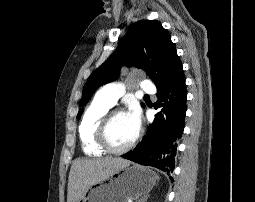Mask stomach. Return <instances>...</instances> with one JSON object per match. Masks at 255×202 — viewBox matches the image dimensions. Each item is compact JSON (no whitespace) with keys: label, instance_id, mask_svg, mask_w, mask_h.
<instances>
[{"label":"stomach","instance_id":"0dacf381","mask_svg":"<svg viewBox=\"0 0 255 202\" xmlns=\"http://www.w3.org/2000/svg\"><path fill=\"white\" fill-rule=\"evenodd\" d=\"M156 176L148 169L131 166L117 170L88 187L76 202H125L148 194Z\"/></svg>","mask_w":255,"mask_h":202}]
</instances>
